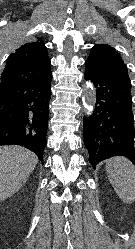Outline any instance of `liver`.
Segmentation results:
<instances>
[{"label": "liver", "instance_id": "liver-1", "mask_svg": "<svg viewBox=\"0 0 135 249\" xmlns=\"http://www.w3.org/2000/svg\"><path fill=\"white\" fill-rule=\"evenodd\" d=\"M37 162V156L24 147H0V202L21 189Z\"/></svg>", "mask_w": 135, "mask_h": 249}]
</instances>
